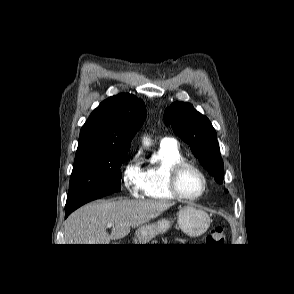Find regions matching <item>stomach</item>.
<instances>
[{
	"mask_svg": "<svg viewBox=\"0 0 294 294\" xmlns=\"http://www.w3.org/2000/svg\"><path fill=\"white\" fill-rule=\"evenodd\" d=\"M210 222V217L203 210L192 206H185L179 210V228L190 237L201 236L209 228ZM169 227L170 222L167 219L142 225L135 232V244H146L158 234L166 232Z\"/></svg>",
	"mask_w": 294,
	"mask_h": 294,
	"instance_id": "0dacf381",
	"label": "stomach"
}]
</instances>
